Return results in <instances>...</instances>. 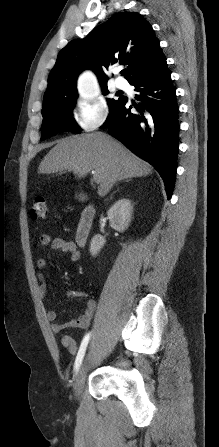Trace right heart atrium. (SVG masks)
<instances>
[{
  "instance_id": "1",
  "label": "right heart atrium",
  "mask_w": 219,
  "mask_h": 447,
  "mask_svg": "<svg viewBox=\"0 0 219 447\" xmlns=\"http://www.w3.org/2000/svg\"><path fill=\"white\" fill-rule=\"evenodd\" d=\"M108 117V106L98 99L80 103L75 112L77 125L84 132L97 130L107 121Z\"/></svg>"
}]
</instances>
